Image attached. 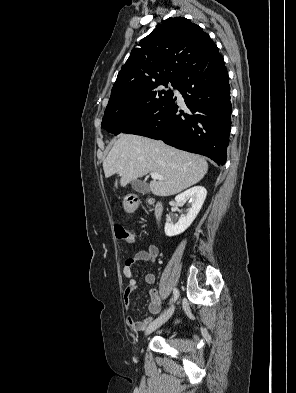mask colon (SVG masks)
Segmentation results:
<instances>
[{
	"mask_svg": "<svg viewBox=\"0 0 296 393\" xmlns=\"http://www.w3.org/2000/svg\"><path fill=\"white\" fill-rule=\"evenodd\" d=\"M115 234L118 239L123 240L128 245L135 244L136 238L134 232L127 230L123 226H115Z\"/></svg>",
	"mask_w": 296,
	"mask_h": 393,
	"instance_id": "obj_1",
	"label": "colon"
}]
</instances>
